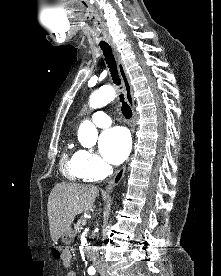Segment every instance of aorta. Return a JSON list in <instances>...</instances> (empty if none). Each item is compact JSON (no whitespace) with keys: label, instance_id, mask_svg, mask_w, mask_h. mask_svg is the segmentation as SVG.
<instances>
[{"label":"aorta","instance_id":"obj_1","mask_svg":"<svg viewBox=\"0 0 221 276\" xmlns=\"http://www.w3.org/2000/svg\"><path fill=\"white\" fill-rule=\"evenodd\" d=\"M116 96V91L111 86H105L100 88L91 94L89 99V105L93 109L101 108L112 100ZM98 138V132L95 125L89 121H83L78 129V140L84 147H92L96 144Z\"/></svg>","mask_w":221,"mask_h":276}]
</instances>
